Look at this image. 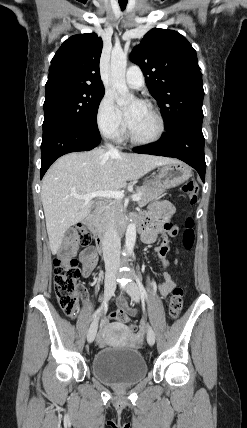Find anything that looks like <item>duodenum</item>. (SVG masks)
I'll use <instances>...</instances> for the list:
<instances>
[{"mask_svg": "<svg viewBox=\"0 0 247 428\" xmlns=\"http://www.w3.org/2000/svg\"><path fill=\"white\" fill-rule=\"evenodd\" d=\"M103 203L98 202L96 204L95 210L92 214H90L86 219L85 223L86 225L92 229L95 235V241H96V248L99 252H102L107 244L108 238L107 236L102 233L98 227H97V214L98 211L101 209ZM133 223L138 228L139 231H143L145 227V222L141 218H136L133 220ZM126 228V223L120 222L116 228V232L118 236H121Z\"/></svg>", "mask_w": 247, "mask_h": 428, "instance_id": "duodenum-1", "label": "duodenum"}]
</instances>
